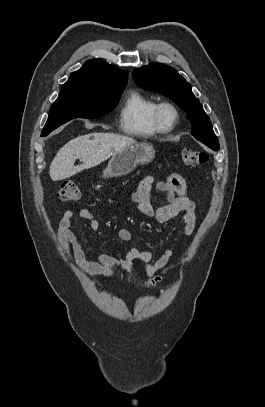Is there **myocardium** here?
Listing matches in <instances>:
<instances>
[{
    "mask_svg": "<svg viewBox=\"0 0 265 407\" xmlns=\"http://www.w3.org/2000/svg\"><path fill=\"white\" fill-rule=\"evenodd\" d=\"M170 112L172 117L169 121L165 119V114ZM154 123L160 132H170L176 126L179 119V110L175 104L165 101L157 104L154 111Z\"/></svg>",
    "mask_w": 265,
    "mask_h": 407,
    "instance_id": "1",
    "label": "myocardium"
}]
</instances>
